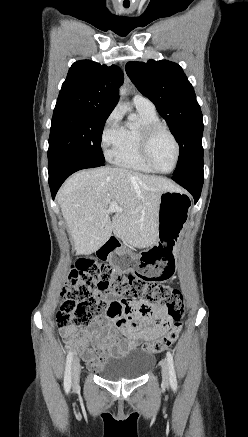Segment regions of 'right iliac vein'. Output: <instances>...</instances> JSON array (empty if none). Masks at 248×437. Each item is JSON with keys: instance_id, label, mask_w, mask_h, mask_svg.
Returning a JSON list of instances; mask_svg holds the SVG:
<instances>
[{"instance_id": "1", "label": "right iliac vein", "mask_w": 248, "mask_h": 437, "mask_svg": "<svg viewBox=\"0 0 248 437\" xmlns=\"http://www.w3.org/2000/svg\"><path fill=\"white\" fill-rule=\"evenodd\" d=\"M80 372H81L80 360L78 357H75L72 362V368H71L72 384L74 387H76L79 383Z\"/></svg>"}]
</instances>
